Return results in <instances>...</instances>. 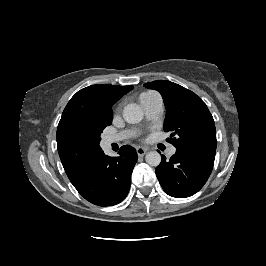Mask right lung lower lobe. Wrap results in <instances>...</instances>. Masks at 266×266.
<instances>
[{"label": "right lung lower lobe", "instance_id": "obj_1", "mask_svg": "<svg viewBox=\"0 0 266 266\" xmlns=\"http://www.w3.org/2000/svg\"><path fill=\"white\" fill-rule=\"evenodd\" d=\"M118 153V157H109L101 150L83 179L74 185L87 201L98 206H111L127 196L137 153L129 145L122 146Z\"/></svg>", "mask_w": 266, "mask_h": 266}]
</instances>
